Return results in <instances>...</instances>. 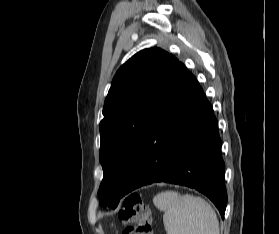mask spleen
<instances>
[{
	"label": "spleen",
	"mask_w": 279,
	"mask_h": 234,
	"mask_svg": "<svg viewBox=\"0 0 279 234\" xmlns=\"http://www.w3.org/2000/svg\"><path fill=\"white\" fill-rule=\"evenodd\" d=\"M164 212L167 234H219V222L213 208L198 196L165 191L153 198Z\"/></svg>",
	"instance_id": "obj_1"
}]
</instances>
